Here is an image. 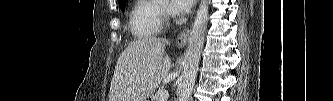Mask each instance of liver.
<instances>
[{
	"label": "liver",
	"mask_w": 333,
	"mask_h": 101,
	"mask_svg": "<svg viewBox=\"0 0 333 101\" xmlns=\"http://www.w3.org/2000/svg\"><path fill=\"white\" fill-rule=\"evenodd\" d=\"M165 39L147 37L130 43L118 58L109 101H146L170 70Z\"/></svg>",
	"instance_id": "liver-1"
}]
</instances>
